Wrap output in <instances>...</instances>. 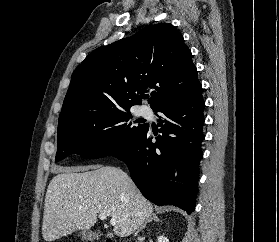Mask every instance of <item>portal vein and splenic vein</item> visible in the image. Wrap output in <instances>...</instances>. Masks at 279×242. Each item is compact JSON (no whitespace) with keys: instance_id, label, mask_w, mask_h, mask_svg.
<instances>
[{"instance_id":"18ae733b","label":"portal vein and splenic vein","mask_w":279,"mask_h":242,"mask_svg":"<svg viewBox=\"0 0 279 242\" xmlns=\"http://www.w3.org/2000/svg\"><path fill=\"white\" fill-rule=\"evenodd\" d=\"M99 218H100L101 220H105V219H107V215H106L105 213H100V214H99ZM116 222H117L116 219H114V218H111V219H110V224H111V225H113V226L116 225Z\"/></svg>"}]
</instances>
